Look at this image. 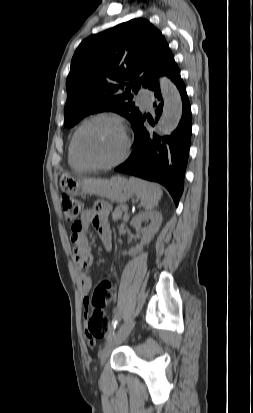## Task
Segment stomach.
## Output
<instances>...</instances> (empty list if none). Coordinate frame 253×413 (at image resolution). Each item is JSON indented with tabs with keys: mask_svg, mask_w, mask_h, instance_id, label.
Instances as JSON below:
<instances>
[{
	"mask_svg": "<svg viewBox=\"0 0 253 413\" xmlns=\"http://www.w3.org/2000/svg\"><path fill=\"white\" fill-rule=\"evenodd\" d=\"M60 187L63 192L73 197L90 194L119 203L129 200L134 194L132 185L122 176L92 179L64 174L60 179Z\"/></svg>",
	"mask_w": 253,
	"mask_h": 413,
	"instance_id": "0dacf381",
	"label": "stomach"
}]
</instances>
